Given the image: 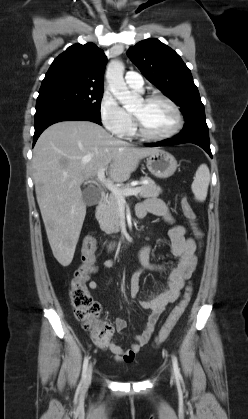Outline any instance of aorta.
<instances>
[{"mask_svg":"<svg viewBox=\"0 0 248 419\" xmlns=\"http://www.w3.org/2000/svg\"><path fill=\"white\" fill-rule=\"evenodd\" d=\"M124 65L119 60H112L106 71V79L110 91L116 99L127 109L130 110L139 102V96L131 93L123 78Z\"/></svg>","mask_w":248,"mask_h":419,"instance_id":"762f6f07","label":"aorta"}]
</instances>
